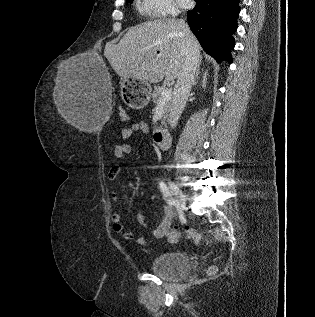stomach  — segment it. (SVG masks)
<instances>
[{"label": "stomach", "mask_w": 315, "mask_h": 317, "mask_svg": "<svg viewBox=\"0 0 315 317\" xmlns=\"http://www.w3.org/2000/svg\"><path fill=\"white\" fill-rule=\"evenodd\" d=\"M151 91V85L143 80L128 78L121 82L122 100L133 109L145 107L149 103Z\"/></svg>", "instance_id": "stomach-1"}]
</instances>
